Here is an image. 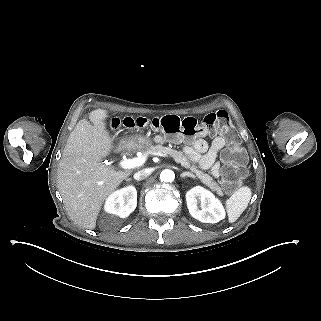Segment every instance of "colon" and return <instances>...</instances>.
<instances>
[{"mask_svg":"<svg viewBox=\"0 0 321 321\" xmlns=\"http://www.w3.org/2000/svg\"><path fill=\"white\" fill-rule=\"evenodd\" d=\"M109 125L113 129L121 127L137 130L152 128L169 135L181 134L186 137L219 133L227 141V147L221 154L224 162L222 181L225 190L228 193L233 192L246 176V153L233 129L231 119L225 111L210 113L201 122L192 117L181 119L175 115H165L152 119L145 117L115 118L110 121Z\"/></svg>","mask_w":321,"mask_h":321,"instance_id":"colon-1","label":"colon"}]
</instances>
